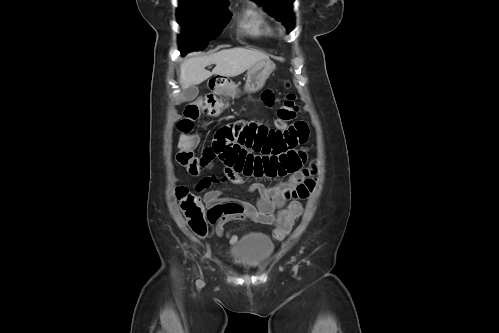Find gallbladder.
Wrapping results in <instances>:
<instances>
[{
	"mask_svg": "<svg viewBox=\"0 0 499 333\" xmlns=\"http://www.w3.org/2000/svg\"><path fill=\"white\" fill-rule=\"evenodd\" d=\"M198 88L196 86H190L184 90V96L187 101L194 100L198 95Z\"/></svg>",
	"mask_w": 499,
	"mask_h": 333,
	"instance_id": "bac80fb5",
	"label": "gallbladder"
}]
</instances>
